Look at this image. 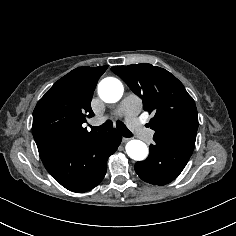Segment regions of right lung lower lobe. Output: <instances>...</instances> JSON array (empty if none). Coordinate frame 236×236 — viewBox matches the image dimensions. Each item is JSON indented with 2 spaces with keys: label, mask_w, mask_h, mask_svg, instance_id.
Wrapping results in <instances>:
<instances>
[{
  "label": "right lung lower lobe",
  "mask_w": 236,
  "mask_h": 236,
  "mask_svg": "<svg viewBox=\"0 0 236 236\" xmlns=\"http://www.w3.org/2000/svg\"><path fill=\"white\" fill-rule=\"evenodd\" d=\"M122 136L115 130L86 140L69 143L41 157L47 171L66 189L85 192L104 178L107 160L120 145Z\"/></svg>",
  "instance_id": "right-lung-lower-lobe-1"
}]
</instances>
